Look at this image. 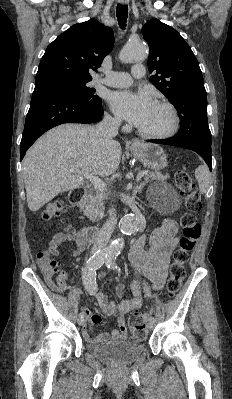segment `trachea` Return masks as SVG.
Here are the masks:
<instances>
[{"instance_id": "obj_1", "label": "trachea", "mask_w": 232, "mask_h": 399, "mask_svg": "<svg viewBox=\"0 0 232 399\" xmlns=\"http://www.w3.org/2000/svg\"><path fill=\"white\" fill-rule=\"evenodd\" d=\"M116 13L119 25L122 29H124L126 27V22H127L128 6L119 3L117 5Z\"/></svg>"}]
</instances>
